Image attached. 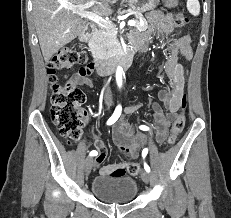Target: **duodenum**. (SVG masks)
<instances>
[{
  "label": "duodenum",
  "instance_id": "410a0bca",
  "mask_svg": "<svg viewBox=\"0 0 231 218\" xmlns=\"http://www.w3.org/2000/svg\"><path fill=\"white\" fill-rule=\"evenodd\" d=\"M95 32L94 24H87L84 31L80 34L81 40L89 39ZM132 61V51L119 49L110 55H101L94 63L93 69L100 75L109 74L118 64L129 66Z\"/></svg>",
  "mask_w": 231,
  "mask_h": 218
}]
</instances>
